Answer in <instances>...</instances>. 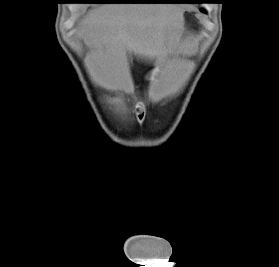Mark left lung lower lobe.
<instances>
[{"mask_svg":"<svg viewBox=\"0 0 279 267\" xmlns=\"http://www.w3.org/2000/svg\"><path fill=\"white\" fill-rule=\"evenodd\" d=\"M187 3H200V2H190V1H189V2H187Z\"/></svg>","mask_w":279,"mask_h":267,"instance_id":"left-lung-lower-lobe-1","label":"left lung lower lobe"}]
</instances>
